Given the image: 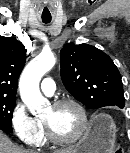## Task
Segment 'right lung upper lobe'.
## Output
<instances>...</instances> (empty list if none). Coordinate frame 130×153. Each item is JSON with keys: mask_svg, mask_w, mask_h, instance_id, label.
Listing matches in <instances>:
<instances>
[{"mask_svg": "<svg viewBox=\"0 0 130 153\" xmlns=\"http://www.w3.org/2000/svg\"><path fill=\"white\" fill-rule=\"evenodd\" d=\"M26 60V49L17 39L0 36V96L16 98L17 81Z\"/></svg>", "mask_w": 130, "mask_h": 153, "instance_id": "obj_1", "label": "right lung upper lobe"}]
</instances>
